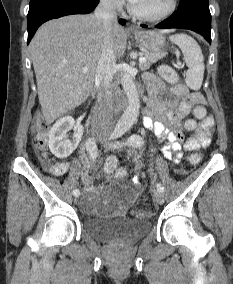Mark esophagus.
<instances>
[{
  "mask_svg": "<svg viewBox=\"0 0 233 284\" xmlns=\"http://www.w3.org/2000/svg\"><path fill=\"white\" fill-rule=\"evenodd\" d=\"M130 30H131V31H136V27H135L134 25H131V26H130Z\"/></svg>",
  "mask_w": 233,
  "mask_h": 284,
  "instance_id": "1",
  "label": "esophagus"
}]
</instances>
